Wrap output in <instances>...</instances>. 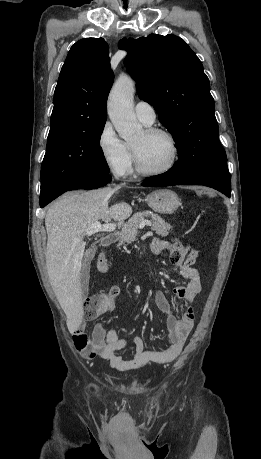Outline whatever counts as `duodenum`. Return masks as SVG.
Wrapping results in <instances>:
<instances>
[{
	"mask_svg": "<svg viewBox=\"0 0 261 459\" xmlns=\"http://www.w3.org/2000/svg\"><path fill=\"white\" fill-rule=\"evenodd\" d=\"M117 240V234L116 233H109L105 235L102 239V245L103 246H110Z\"/></svg>",
	"mask_w": 261,
	"mask_h": 459,
	"instance_id": "duodenum-1",
	"label": "duodenum"
}]
</instances>
